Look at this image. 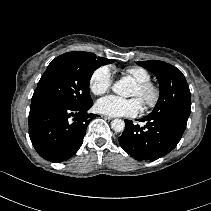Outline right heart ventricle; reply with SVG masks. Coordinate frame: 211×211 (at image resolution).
Returning <instances> with one entry per match:
<instances>
[{"label": "right heart ventricle", "instance_id": "right-heart-ventricle-1", "mask_svg": "<svg viewBox=\"0 0 211 211\" xmlns=\"http://www.w3.org/2000/svg\"><path fill=\"white\" fill-rule=\"evenodd\" d=\"M123 75L125 77L133 79L136 83L150 81V73L142 67L132 66L123 70Z\"/></svg>", "mask_w": 211, "mask_h": 211}]
</instances>
